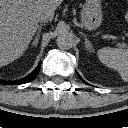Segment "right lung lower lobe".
I'll use <instances>...</instances> for the list:
<instances>
[{
  "mask_svg": "<svg viewBox=\"0 0 128 128\" xmlns=\"http://www.w3.org/2000/svg\"><path fill=\"white\" fill-rule=\"evenodd\" d=\"M40 67H41V63L38 64V66L36 67V69L31 74H29L28 76H26L23 79H20L18 81H13V82H7V81L0 80V84L16 85V84H24V83H27V82L33 80L38 75V73L40 71Z\"/></svg>",
  "mask_w": 128,
  "mask_h": 128,
  "instance_id": "1",
  "label": "right lung lower lobe"
}]
</instances>
